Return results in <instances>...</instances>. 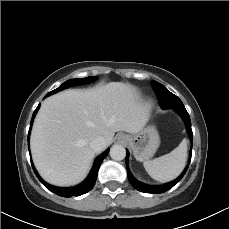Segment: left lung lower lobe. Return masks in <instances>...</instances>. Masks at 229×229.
I'll return each instance as SVG.
<instances>
[{"mask_svg": "<svg viewBox=\"0 0 229 229\" xmlns=\"http://www.w3.org/2000/svg\"><path fill=\"white\" fill-rule=\"evenodd\" d=\"M174 109L181 115V117L185 121L187 132L190 136V141L192 143L193 134H192L191 121H190V117H189L188 112L186 111L184 105L178 106ZM191 151H192V149H191ZM191 151H190L189 163L191 161ZM128 158H129V152L126 150V167H127L128 179L135 189H137L138 191L144 192V193L157 194V193H163V192L168 191L169 189H171L175 184H177L182 179V177L185 175V173L189 167V165H187L186 168L184 169V171L182 172V174L177 179H175L174 181H171V182L164 184V185H161V186H151V185L144 184V183L136 180L133 177V175L131 174V172L128 168Z\"/></svg>", "mask_w": 229, "mask_h": 229, "instance_id": "obj_1", "label": "left lung lower lobe"}]
</instances>
